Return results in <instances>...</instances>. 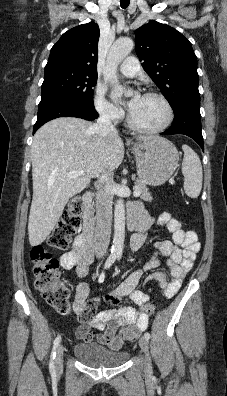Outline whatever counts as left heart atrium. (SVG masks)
<instances>
[{
	"label": "left heart atrium",
	"instance_id": "obj_1",
	"mask_svg": "<svg viewBox=\"0 0 227 396\" xmlns=\"http://www.w3.org/2000/svg\"><path fill=\"white\" fill-rule=\"evenodd\" d=\"M114 96L118 97L119 93L115 92ZM141 97L142 96L139 93H135V95L131 98V100L128 103V108L130 111L137 105V103L140 101Z\"/></svg>",
	"mask_w": 227,
	"mask_h": 396
}]
</instances>
